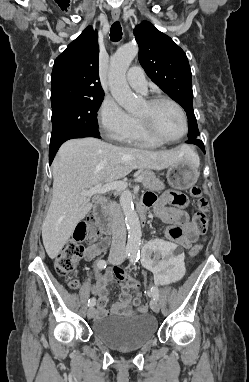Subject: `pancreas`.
<instances>
[{
	"label": "pancreas",
	"instance_id": "pancreas-1",
	"mask_svg": "<svg viewBox=\"0 0 249 382\" xmlns=\"http://www.w3.org/2000/svg\"><path fill=\"white\" fill-rule=\"evenodd\" d=\"M143 177L142 184L144 188L159 191L165 188V185L156 175L150 170H144L138 173V177Z\"/></svg>",
	"mask_w": 249,
	"mask_h": 382
}]
</instances>
